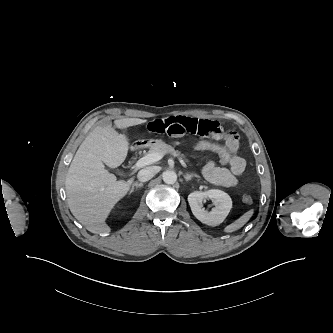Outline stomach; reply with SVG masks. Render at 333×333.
Segmentation results:
<instances>
[{
  "label": "stomach",
  "instance_id": "0dacf381",
  "mask_svg": "<svg viewBox=\"0 0 333 333\" xmlns=\"http://www.w3.org/2000/svg\"><path fill=\"white\" fill-rule=\"evenodd\" d=\"M155 140H150V141H148V145H153V143L152 142H154ZM157 141V140H156Z\"/></svg>",
  "mask_w": 333,
  "mask_h": 333
}]
</instances>
